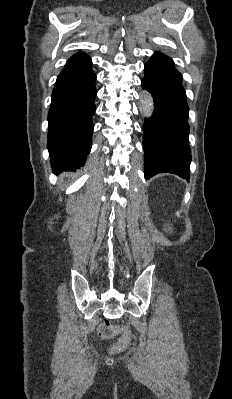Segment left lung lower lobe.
I'll list each match as a JSON object with an SVG mask.
<instances>
[{
	"label": "left lung lower lobe",
	"mask_w": 232,
	"mask_h": 399,
	"mask_svg": "<svg viewBox=\"0 0 232 399\" xmlns=\"http://www.w3.org/2000/svg\"><path fill=\"white\" fill-rule=\"evenodd\" d=\"M142 87L153 97L154 112L143 125L145 178L172 173L190 178L189 107L182 86V75L173 60L155 52L144 65Z\"/></svg>",
	"instance_id": "obj_1"
}]
</instances>
